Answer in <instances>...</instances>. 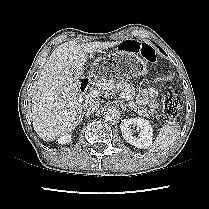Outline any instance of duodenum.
I'll list each match as a JSON object with an SVG mask.
<instances>
[{
  "label": "duodenum",
  "mask_w": 209,
  "mask_h": 209,
  "mask_svg": "<svg viewBox=\"0 0 209 209\" xmlns=\"http://www.w3.org/2000/svg\"><path fill=\"white\" fill-rule=\"evenodd\" d=\"M76 81L81 91H85L89 86V80L85 76H78Z\"/></svg>",
  "instance_id": "410a0bca"
}]
</instances>
